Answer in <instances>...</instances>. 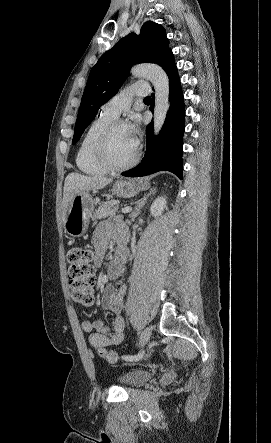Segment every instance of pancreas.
<instances>
[{
	"instance_id": "1",
	"label": "pancreas",
	"mask_w": 271,
	"mask_h": 443,
	"mask_svg": "<svg viewBox=\"0 0 271 443\" xmlns=\"http://www.w3.org/2000/svg\"><path fill=\"white\" fill-rule=\"evenodd\" d=\"M118 200H111V202H104L99 206L98 210H95L92 220H101V218H113L116 212H118Z\"/></svg>"
}]
</instances>
